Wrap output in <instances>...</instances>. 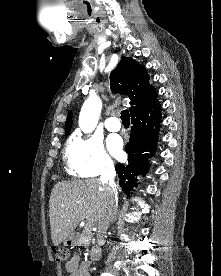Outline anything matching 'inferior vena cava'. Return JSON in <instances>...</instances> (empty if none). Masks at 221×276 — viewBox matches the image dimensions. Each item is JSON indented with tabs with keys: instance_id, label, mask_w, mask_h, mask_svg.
I'll list each match as a JSON object with an SVG mask.
<instances>
[{
	"instance_id": "obj_1",
	"label": "inferior vena cava",
	"mask_w": 221,
	"mask_h": 276,
	"mask_svg": "<svg viewBox=\"0 0 221 276\" xmlns=\"http://www.w3.org/2000/svg\"><path fill=\"white\" fill-rule=\"evenodd\" d=\"M115 175L116 173L113 163H107L105 165V169L101 173L100 178L103 186H106L107 188V202L103 215L98 221L96 235L98 245L104 244L106 231L108 230L110 224L114 221L118 211V192L117 186L114 182Z\"/></svg>"
}]
</instances>
